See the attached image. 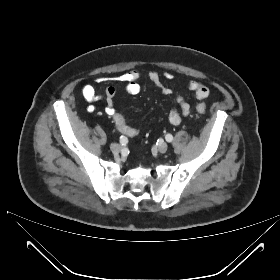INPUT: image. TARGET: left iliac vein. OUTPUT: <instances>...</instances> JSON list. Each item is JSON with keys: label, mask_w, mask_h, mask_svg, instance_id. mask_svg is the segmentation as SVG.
<instances>
[{"label": "left iliac vein", "mask_w": 280, "mask_h": 280, "mask_svg": "<svg viewBox=\"0 0 280 280\" xmlns=\"http://www.w3.org/2000/svg\"><path fill=\"white\" fill-rule=\"evenodd\" d=\"M168 149V145L165 142H161L160 144H158L157 146V150L160 153H165Z\"/></svg>", "instance_id": "4c4485c4"}]
</instances>
